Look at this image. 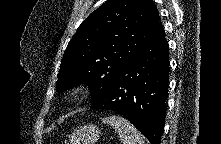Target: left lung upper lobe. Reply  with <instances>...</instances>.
<instances>
[{
    "label": "left lung upper lobe",
    "mask_w": 221,
    "mask_h": 144,
    "mask_svg": "<svg viewBox=\"0 0 221 144\" xmlns=\"http://www.w3.org/2000/svg\"><path fill=\"white\" fill-rule=\"evenodd\" d=\"M160 27L152 0H107L80 24L70 40L56 91L85 83L91 89L93 105Z\"/></svg>",
    "instance_id": "5c2ea615"
}]
</instances>
